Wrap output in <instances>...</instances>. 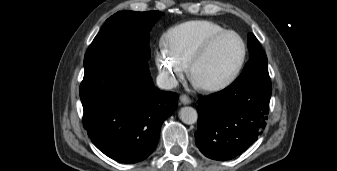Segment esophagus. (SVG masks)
<instances>
[{"label":"esophagus","mask_w":337,"mask_h":171,"mask_svg":"<svg viewBox=\"0 0 337 171\" xmlns=\"http://www.w3.org/2000/svg\"><path fill=\"white\" fill-rule=\"evenodd\" d=\"M180 102L184 105H188L191 103V99L187 95L183 94L180 96Z\"/></svg>","instance_id":"obj_1"}]
</instances>
